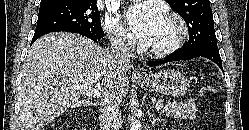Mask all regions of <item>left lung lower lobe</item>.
<instances>
[{
	"instance_id": "obj_1",
	"label": "left lung lower lobe",
	"mask_w": 249,
	"mask_h": 130,
	"mask_svg": "<svg viewBox=\"0 0 249 130\" xmlns=\"http://www.w3.org/2000/svg\"><path fill=\"white\" fill-rule=\"evenodd\" d=\"M197 57H205L207 59H210L211 61L216 63L223 71L219 50L208 47H193V48L182 47L177 49L176 51H174L173 53H171L162 60L149 61L148 65L150 67H153L167 62L189 60Z\"/></svg>"
}]
</instances>
